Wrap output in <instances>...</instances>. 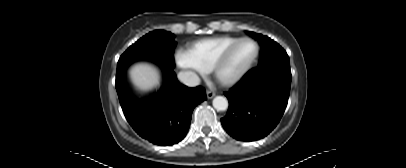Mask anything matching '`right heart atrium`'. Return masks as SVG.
Instances as JSON below:
<instances>
[{
	"label": "right heart atrium",
	"instance_id": "1",
	"mask_svg": "<svg viewBox=\"0 0 406 168\" xmlns=\"http://www.w3.org/2000/svg\"><path fill=\"white\" fill-rule=\"evenodd\" d=\"M175 62L180 69L187 71L192 76H196L197 74H204L202 70H200L191 62L185 51H179L176 53Z\"/></svg>",
	"mask_w": 406,
	"mask_h": 168
}]
</instances>
